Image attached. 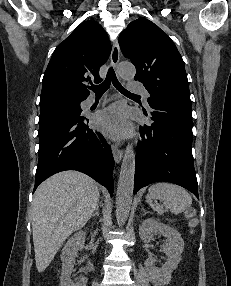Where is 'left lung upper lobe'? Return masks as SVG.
I'll use <instances>...</instances> for the list:
<instances>
[{
  "instance_id": "5c2ea615",
  "label": "left lung upper lobe",
  "mask_w": 231,
  "mask_h": 286,
  "mask_svg": "<svg viewBox=\"0 0 231 286\" xmlns=\"http://www.w3.org/2000/svg\"><path fill=\"white\" fill-rule=\"evenodd\" d=\"M125 57L136 67L151 99H168L191 105L184 62L170 37L150 20L132 21L119 36Z\"/></svg>"
}]
</instances>
